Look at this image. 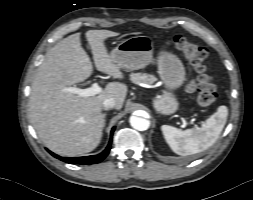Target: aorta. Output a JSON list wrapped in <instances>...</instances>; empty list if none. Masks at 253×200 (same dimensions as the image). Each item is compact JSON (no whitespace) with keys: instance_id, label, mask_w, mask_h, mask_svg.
<instances>
[{"instance_id":"aorta-1","label":"aorta","mask_w":253,"mask_h":200,"mask_svg":"<svg viewBox=\"0 0 253 200\" xmlns=\"http://www.w3.org/2000/svg\"><path fill=\"white\" fill-rule=\"evenodd\" d=\"M130 124L134 129L138 131H145L150 126L149 120L137 116L130 117Z\"/></svg>"}]
</instances>
